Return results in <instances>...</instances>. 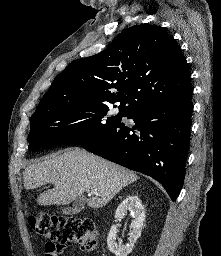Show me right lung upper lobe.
Listing matches in <instances>:
<instances>
[{
	"label": "right lung upper lobe",
	"mask_w": 221,
	"mask_h": 256,
	"mask_svg": "<svg viewBox=\"0 0 221 256\" xmlns=\"http://www.w3.org/2000/svg\"><path fill=\"white\" fill-rule=\"evenodd\" d=\"M191 94L186 59L174 39L160 26L141 24L124 30L102 52L71 62L34 114L115 102L135 113Z\"/></svg>",
	"instance_id": "obj_1"
}]
</instances>
